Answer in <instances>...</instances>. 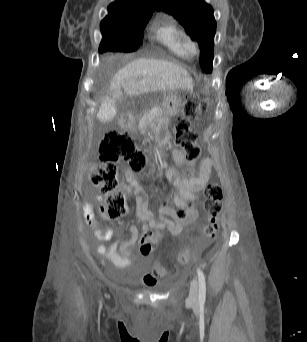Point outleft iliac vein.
Instances as JSON below:
<instances>
[{
  "label": "left iliac vein",
  "instance_id": "left-iliac-vein-1",
  "mask_svg": "<svg viewBox=\"0 0 307 342\" xmlns=\"http://www.w3.org/2000/svg\"><path fill=\"white\" fill-rule=\"evenodd\" d=\"M189 300L192 303H197V301H198V283L196 280H193L191 283Z\"/></svg>",
  "mask_w": 307,
  "mask_h": 342
}]
</instances>
